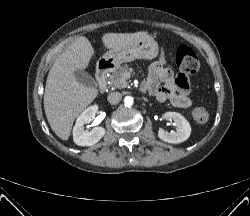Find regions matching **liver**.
I'll list each match as a JSON object with an SVG mask.
<instances>
[{
	"label": "liver",
	"instance_id": "6515ba94",
	"mask_svg": "<svg viewBox=\"0 0 250 216\" xmlns=\"http://www.w3.org/2000/svg\"><path fill=\"white\" fill-rule=\"evenodd\" d=\"M147 32L106 33L102 36L105 48L113 50L147 36ZM109 50V51H110ZM94 56L90 41L78 37L55 60L46 81L44 110L47 120L62 140H68L75 118L96 98L98 90L84 86L75 77L76 71H84Z\"/></svg>",
	"mask_w": 250,
	"mask_h": 216
}]
</instances>
